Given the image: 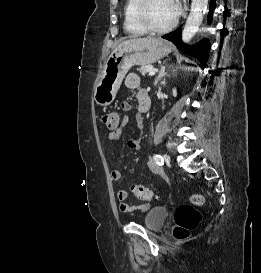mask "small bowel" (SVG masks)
I'll use <instances>...</instances> for the list:
<instances>
[{
  "label": "small bowel",
  "mask_w": 261,
  "mask_h": 273,
  "mask_svg": "<svg viewBox=\"0 0 261 273\" xmlns=\"http://www.w3.org/2000/svg\"><path fill=\"white\" fill-rule=\"evenodd\" d=\"M125 85H126V87H128L130 89L136 90L135 97H136V100H137L138 106H139V112L136 114V124H137L138 134H137V136L128 140L127 146L132 150L138 151L141 148L140 134L143 129V115L141 113V111H142L141 107H142V104H143L147 94L144 90H142L140 88V79L136 74L129 73L125 78ZM121 109L124 112H129L131 110V104L129 102L125 101L121 104ZM127 123H128V117L124 116L120 125L115 130H112L109 132V134L107 136L108 142L112 143V142L119 140L122 130L127 125ZM126 168H127V165L124 167V169H126ZM150 168L155 173H161V171L157 168V166L155 164H151ZM111 178L114 181H119L122 178V172L120 170H113L111 172ZM117 197L120 201L119 209L123 213H130L134 210L146 211L148 209L147 204L134 206V205L127 203L128 193L124 189H119L117 191Z\"/></svg>",
  "instance_id": "c3829d8e"
}]
</instances>
